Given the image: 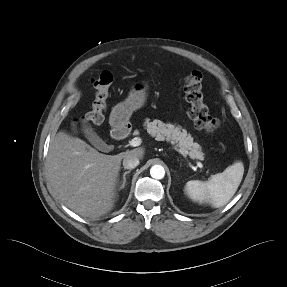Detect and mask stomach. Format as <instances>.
<instances>
[{
	"mask_svg": "<svg viewBox=\"0 0 287 287\" xmlns=\"http://www.w3.org/2000/svg\"><path fill=\"white\" fill-rule=\"evenodd\" d=\"M148 89V82L141 81L133 84L127 99L112 109L109 118L112 135L116 136L120 131L127 128L132 113L144 106Z\"/></svg>",
	"mask_w": 287,
	"mask_h": 287,
	"instance_id": "stomach-1",
	"label": "stomach"
}]
</instances>
